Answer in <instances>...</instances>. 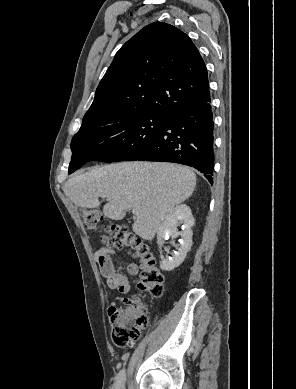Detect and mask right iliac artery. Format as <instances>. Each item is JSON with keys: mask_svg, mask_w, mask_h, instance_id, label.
<instances>
[{"mask_svg": "<svg viewBox=\"0 0 296 389\" xmlns=\"http://www.w3.org/2000/svg\"><path fill=\"white\" fill-rule=\"evenodd\" d=\"M125 369H122L118 375H117V378H116V383H115V388L116 389H123L124 387V382H125Z\"/></svg>", "mask_w": 296, "mask_h": 389, "instance_id": "82829eb1", "label": "right iliac artery"}]
</instances>
